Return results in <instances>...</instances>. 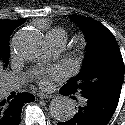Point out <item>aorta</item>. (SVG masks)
Instances as JSON below:
<instances>
[{
	"mask_svg": "<svg viewBox=\"0 0 125 125\" xmlns=\"http://www.w3.org/2000/svg\"><path fill=\"white\" fill-rule=\"evenodd\" d=\"M15 39L17 53L24 58L37 57L45 48L44 38L37 30H22ZM49 109L51 116L59 121H67L76 113L72 100L66 96L53 99Z\"/></svg>",
	"mask_w": 125,
	"mask_h": 125,
	"instance_id": "aorta-1",
	"label": "aorta"
}]
</instances>
